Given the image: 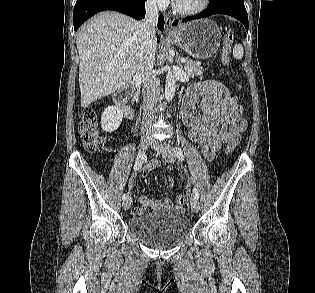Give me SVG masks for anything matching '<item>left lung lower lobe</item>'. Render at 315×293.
I'll use <instances>...</instances> for the list:
<instances>
[{
    "label": "left lung lower lobe",
    "mask_w": 315,
    "mask_h": 293,
    "mask_svg": "<svg viewBox=\"0 0 315 293\" xmlns=\"http://www.w3.org/2000/svg\"><path fill=\"white\" fill-rule=\"evenodd\" d=\"M214 14H226L238 19L248 31V14L244 6V0H218L210 4L203 12L185 18L182 22L208 17ZM175 21L173 25H176Z\"/></svg>",
    "instance_id": "left-lung-lower-lobe-1"
}]
</instances>
